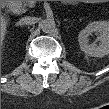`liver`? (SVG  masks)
I'll use <instances>...</instances> for the list:
<instances>
[{
	"instance_id": "6515ba94",
	"label": "liver",
	"mask_w": 109,
	"mask_h": 109,
	"mask_svg": "<svg viewBox=\"0 0 109 109\" xmlns=\"http://www.w3.org/2000/svg\"><path fill=\"white\" fill-rule=\"evenodd\" d=\"M5 30H6V21L4 19H2V23H1V33H2V38L5 35Z\"/></svg>"
}]
</instances>
